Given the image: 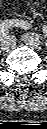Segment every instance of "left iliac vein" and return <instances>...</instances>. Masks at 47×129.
<instances>
[{
	"label": "left iliac vein",
	"instance_id": "obj_1",
	"mask_svg": "<svg viewBox=\"0 0 47 129\" xmlns=\"http://www.w3.org/2000/svg\"><path fill=\"white\" fill-rule=\"evenodd\" d=\"M23 41L30 47H38L40 46V39L38 34H34V33H25L22 36Z\"/></svg>",
	"mask_w": 47,
	"mask_h": 129
}]
</instances>
